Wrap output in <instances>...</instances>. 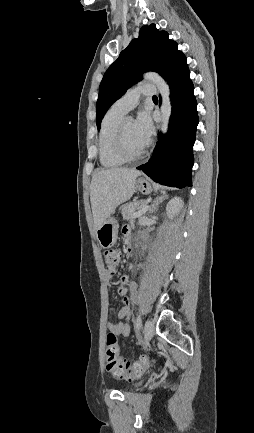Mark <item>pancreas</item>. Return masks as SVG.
<instances>
[{
	"label": "pancreas",
	"mask_w": 254,
	"mask_h": 433,
	"mask_svg": "<svg viewBox=\"0 0 254 433\" xmlns=\"http://www.w3.org/2000/svg\"><path fill=\"white\" fill-rule=\"evenodd\" d=\"M143 206H145L144 200L133 201V202H130V203L124 205L121 208V214L123 216V219L132 220L133 214L135 213L136 209L143 207Z\"/></svg>",
	"instance_id": "pancreas-1"
}]
</instances>
